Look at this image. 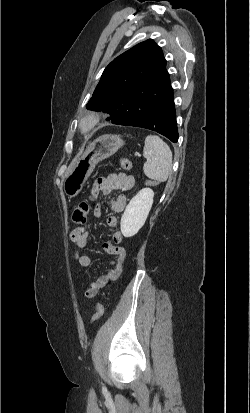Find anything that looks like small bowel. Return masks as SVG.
<instances>
[{"label": "small bowel", "mask_w": 250, "mask_h": 413, "mask_svg": "<svg viewBox=\"0 0 250 413\" xmlns=\"http://www.w3.org/2000/svg\"><path fill=\"white\" fill-rule=\"evenodd\" d=\"M134 186V177L124 173L110 174L106 177L98 178L91 190V195L88 196L89 200L93 197H98L100 193L104 196L111 195L114 191H128ZM126 196L119 194L111 200V208L114 212H122L126 205ZM102 212L101 205H97L94 209L95 217H100ZM106 224L109 227H116L118 219L116 216H109L106 220ZM91 231L87 227H80L74 229L71 234V240L75 243V251L73 253V259L78 268H86L91 264V258L88 255L80 254V250L88 247L89 237ZM123 235L117 230L112 234V242H107L103 245L104 250L113 255L114 258L110 261L109 269L101 274L94 282L90 283L85 296L87 298L95 297L100 289L111 281H115L121 274L123 263L126 257V249L122 245Z\"/></svg>", "instance_id": "obj_1"}]
</instances>
